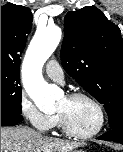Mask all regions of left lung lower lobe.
<instances>
[{"label":"left lung lower lobe","mask_w":123,"mask_h":152,"mask_svg":"<svg viewBox=\"0 0 123 152\" xmlns=\"http://www.w3.org/2000/svg\"><path fill=\"white\" fill-rule=\"evenodd\" d=\"M98 139L115 141L123 144V121H121L117 126L112 128V131L101 135Z\"/></svg>","instance_id":"left-lung-lower-lobe-1"}]
</instances>
